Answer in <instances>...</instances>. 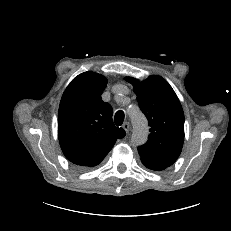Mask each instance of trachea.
Returning <instances> with one entry per match:
<instances>
[{"instance_id": "1", "label": "trachea", "mask_w": 231, "mask_h": 231, "mask_svg": "<svg viewBox=\"0 0 231 231\" xmlns=\"http://www.w3.org/2000/svg\"><path fill=\"white\" fill-rule=\"evenodd\" d=\"M114 121L117 126H121L124 121V112L121 110L117 111L114 117Z\"/></svg>"}]
</instances>
